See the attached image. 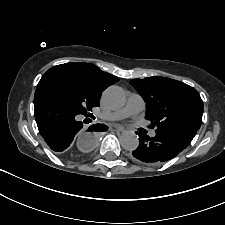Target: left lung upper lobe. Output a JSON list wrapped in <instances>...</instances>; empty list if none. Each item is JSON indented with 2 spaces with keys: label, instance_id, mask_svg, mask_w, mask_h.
<instances>
[{
  "label": "left lung upper lobe",
  "instance_id": "left-lung-upper-lobe-1",
  "mask_svg": "<svg viewBox=\"0 0 225 225\" xmlns=\"http://www.w3.org/2000/svg\"><path fill=\"white\" fill-rule=\"evenodd\" d=\"M130 84L146 102L147 120L155 132L179 129L199 130L202 123L203 101L196 89L170 78L133 79Z\"/></svg>",
  "mask_w": 225,
  "mask_h": 225
}]
</instances>
